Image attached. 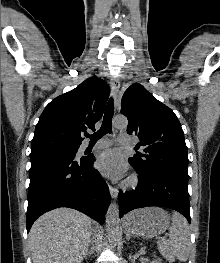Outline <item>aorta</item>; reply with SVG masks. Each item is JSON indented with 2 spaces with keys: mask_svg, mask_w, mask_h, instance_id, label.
<instances>
[{
  "mask_svg": "<svg viewBox=\"0 0 220 263\" xmlns=\"http://www.w3.org/2000/svg\"><path fill=\"white\" fill-rule=\"evenodd\" d=\"M128 124L124 116L115 117L113 126L118 129L126 128ZM106 227L109 238L114 240L119 230V208L116 203H111L106 214Z\"/></svg>",
  "mask_w": 220,
  "mask_h": 263,
  "instance_id": "aorta-1",
  "label": "aorta"
}]
</instances>
